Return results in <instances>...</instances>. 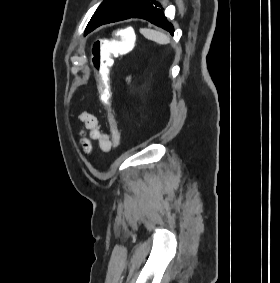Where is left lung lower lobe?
I'll use <instances>...</instances> for the list:
<instances>
[{
    "label": "left lung lower lobe",
    "instance_id": "obj_1",
    "mask_svg": "<svg viewBox=\"0 0 280 283\" xmlns=\"http://www.w3.org/2000/svg\"><path fill=\"white\" fill-rule=\"evenodd\" d=\"M128 18L145 19L155 24L156 26L165 29L166 31L170 32V34L174 33L173 25L164 16L163 8H160V4L157 3L155 0H147V2L141 8H139L135 13L128 17L113 18L103 22L101 25L125 20Z\"/></svg>",
    "mask_w": 280,
    "mask_h": 283
}]
</instances>
